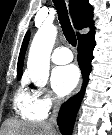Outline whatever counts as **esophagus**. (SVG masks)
Masks as SVG:
<instances>
[{
    "instance_id": "34e87169",
    "label": "esophagus",
    "mask_w": 112,
    "mask_h": 135,
    "mask_svg": "<svg viewBox=\"0 0 112 135\" xmlns=\"http://www.w3.org/2000/svg\"><path fill=\"white\" fill-rule=\"evenodd\" d=\"M81 84H82V81H80L79 85L77 86V88H76V90H75V92H74L75 94L80 91Z\"/></svg>"
}]
</instances>
